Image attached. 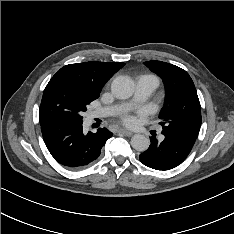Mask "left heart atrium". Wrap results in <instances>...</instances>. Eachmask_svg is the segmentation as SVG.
I'll list each match as a JSON object with an SVG mask.
<instances>
[{
    "label": "left heart atrium",
    "instance_id": "39dd6f15",
    "mask_svg": "<svg viewBox=\"0 0 234 234\" xmlns=\"http://www.w3.org/2000/svg\"><path fill=\"white\" fill-rule=\"evenodd\" d=\"M122 121L127 126H133L135 124V118L131 115H124Z\"/></svg>",
    "mask_w": 234,
    "mask_h": 234
}]
</instances>
